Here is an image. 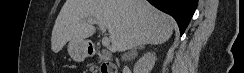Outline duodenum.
Listing matches in <instances>:
<instances>
[{
    "label": "duodenum",
    "mask_w": 244,
    "mask_h": 73,
    "mask_svg": "<svg viewBox=\"0 0 244 73\" xmlns=\"http://www.w3.org/2000/svg\"><path fill=\"white\" fill-rule=\"evenodd\" d=\"M96 52H97L96 48H92L91 46L88 48L89 55H94V54H96ZM101 73H115V69L113 68L111 63L104 62V63H102Z\"/></svg>",
    "instance_id": "duodenum-1"
}]
</instances>
